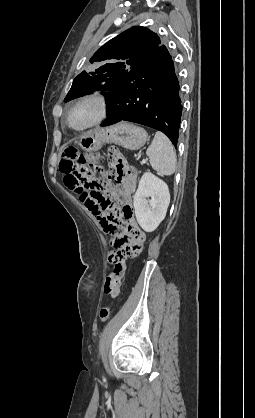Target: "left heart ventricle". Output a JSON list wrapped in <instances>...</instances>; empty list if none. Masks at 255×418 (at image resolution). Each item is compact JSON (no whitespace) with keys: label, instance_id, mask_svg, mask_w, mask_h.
Listing matches in <instances>:
<instances>
[{"label":"left heart ventricle","instance_id":"b2bd125f","mask_svg":"<svg viewBox=\"0 0 255 418\" xmlns=\"http://www.w3.org/2000/svg\"><path fill=\"white\" fill-rule=\"evenodd\" d=\"M96 114V106L92 102L77 106L71 113L70 123L74 127H82L90 122Z\"/></svg>","mask_w":255,"mask_h":418}]
</instances>
